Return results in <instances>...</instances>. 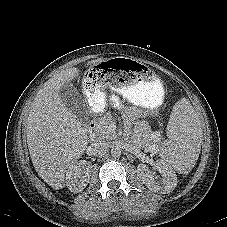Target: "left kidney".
Returning <instances> with one entry per match:
<instances>
[{
  "label": "left kidney",
  "mask_w": 227,
  "mask_h": 227,
  "mask_svg": "<svg viewBox=\"0 0 227 227\" xmlns=\"http://www.w3.org/2000/svg\"><path fill=\"white\" fill-rule=\"evenodd\" d=\"M138 177L150 190L167 194L177 186V175L172 167L163 160H158L155 164V171L160 173V177L155 175L148 165H138Z\"/></svg>",
  "instance_id": "left-kidney-1"
}]
</instances>
